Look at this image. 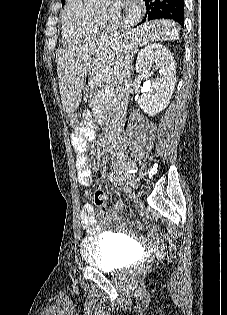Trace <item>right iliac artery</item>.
Here are the masks:
<instances>
[{"instance_id": "obj_1", "label": "right iliac artery", "mask_w": 227, "mask_h": 315, "mask_svg": "<svg viewBox=\"0 0 227 315\" xmlns=\"http://www.w3.org/2000/svg\"><path fill=\"white\" fill-rule=\"evenodd\" d=\"M108 179L115 185H117L120 182V179L118 178V176L113 172H110L108 174Z\"/></svg>"}]
</instances>
